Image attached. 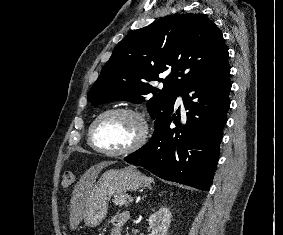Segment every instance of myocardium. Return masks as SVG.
Listing matches in <instances>:
<instances>
[{
    "label": "myocardium",
    "instance_id": "obj_1",
    "mask_svg": "<svg viewBox=\"0 0 283 235\" xmlns=\"http://www.w3.org/2000/svg\"><path fill=\"white\" fill-rule=\"evenodd\" d=\"M113 113H126L134 118H136L140 124V133L137 136L136 140L128 147L116 150V151H110L103 149L99 147L95 141H94V131L96 128V125L98 122L103 119L105 116ZM148 135H149V127L148 123L144 117V115L139 112L138 110L131 108V107H125V106H118V107H112L109 109H106L102 111L91 123L88 131V141L90 146L96 150L97 152L107 155V156H112V157H117V156H127L130 154L135 153L139 149H141L147 142L148 140Z\"/></svg>",
    "mask_w": 283,
    "mask_h": 235
}]
</instances>
